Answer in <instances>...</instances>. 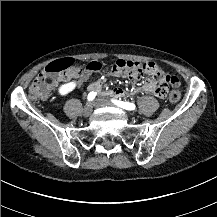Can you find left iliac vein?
Segmentation results:
<instances>
[{"instance_id":"4c4485c4","label":"left iliac vein","mask_w":217,"mask_h":217,"mask_svg":"<svg viewBox=\"0 0 217 217\" xmlns=\"http://www.w3.org/2000/svg\"><path fill=\"white\" fill-rule=\"evenodd\" d=\"M94 103L99 106H113L110 100L107 98H98L95 100Z\"/></svg>"}]
</instances>
